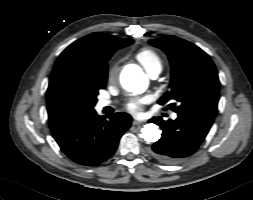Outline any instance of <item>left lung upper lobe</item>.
I'll list each match as a JSON object with an SVG mask.
<instances>
[{"mask_svg":"<svg viewBox=\"0 0 253 200\" xmlns=\"http://www.w3.org/2000/svg\"><path fill=\"white\" fill-rule=\"evenodd\" d=\"M149 43L162 49L171 63L170 91L158 100L159 104L170 103L176 113L215 117L220 83L210 57L196 45L172 35Z\"/></svg>","mask_w":253,"mask_h":200,"instance_id":"obj_1","label":"left lung upper lobe"}]
</instances>
